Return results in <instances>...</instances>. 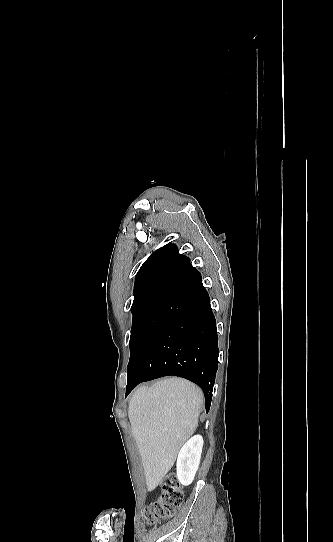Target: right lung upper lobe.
Segmentation results:
<instances>
[{
	"label": "right lung upper lobe",
	"instance_id": "cb5924a9",
	"mask_svg": "<svg viewBox=\"0 0 333 542\" xmlns=\"http://www.w3.org/2000/svg\"><path fill=\"white\" fill-rule=\"evenodd\" d=\"M174 250H177L174 245H165L153 252L143 263L136 276L132 307L164 298L192 273L169 263V254Z\"/></svg>",
	"mask_w": 333,
	"mask_h": 542
}]
</instances>
